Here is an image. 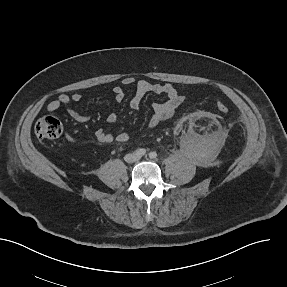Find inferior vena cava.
<instances>
[{
  "mask_svg": "<svg viewBox=\"0 0 287 287\" xmlns=\"http://www.w3.org/2000/svg\"><path fill=\"white\" fill-rule=\"evenodd\" d=\"M140 157L138 155L135 154H129L125 156V161L126 162H135L139 159Z\"/></svg>",
  "mask_w": 287,
  "mask_h": 287,
  "instance_id": "1",
  "label": "inferior vena cava"
}]
</instances>
